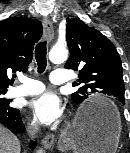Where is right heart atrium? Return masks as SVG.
I'll return each instance as SVG.
<instances>
[{
  "label": "right heart atrium",
  "instance_id": "1",
  "mask_svg": "<svg viewBox=\"0 0 130 153\" xmlns=\"http://www.w3.org/2000/svg\"><path fill=\"white\" fill-rule=\"evenodd\" d=\"M29 130L35 132L37 130V124L34 121L29 123Z\"/></svg>",
  "mask_w": 130,
  "mask_h": 153
}]
</instances>
